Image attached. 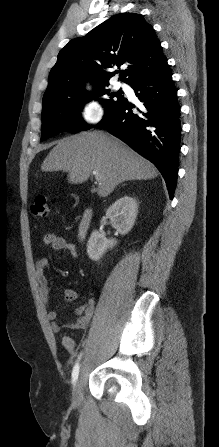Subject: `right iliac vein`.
Segmentation results:
<instances>
[{"instance_id": "1", "label": "right iliac vein", "mask_w": 219, "mask_h": 447, "mask_svg": "<svg viewBox=\"0 0 219 447\" xmlns=\"http://www.w3.org/2000/svg\"><path fill=\"white\" fill-rule=\"evenodd\" d=\"M83 383H84V378H83V375L80 374L77 381L75 382V385L73 387V392H72L73 405L76 407L80 406L82 403Z\"/></svg>"}]
</instances>
